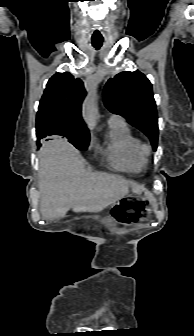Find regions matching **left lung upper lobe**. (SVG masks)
<instances>
[{"label":"left lung upper lobe","mask_w":194,"mask_h":336,"mask_svg":"<svg viewBox=\"0 0 194 336\" xmlns=\"http://www.w3.org/2000/svg\"><path fill=\"white\" fill-rule=\"evenodd\" d=\"M103 95L106 107L145 133L155 149L159 134L157 111L146 76L139 71L121 72L108 80Z\"/></svg>","instance_id":"5c2ea615"}]
</instances>
